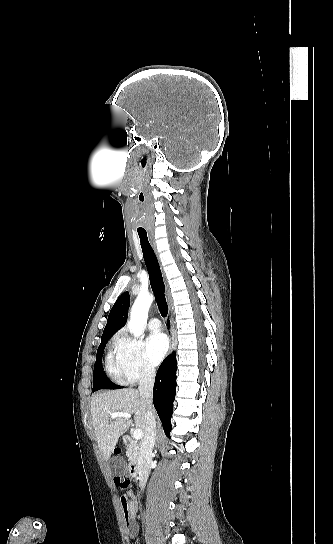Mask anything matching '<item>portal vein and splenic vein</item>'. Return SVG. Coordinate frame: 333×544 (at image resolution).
Wrapping results in <instances>:
<instances>
[{
  "mask_svg": "<svg viewBox=\"0 0 333 544\" xmlns=\"http://www.w3.org/2000/svg\"><path fill=\"white\" fill-rule=\"evenodd\" d=\"M111 418H131V414L129 413H123V412H116L111 414ZM132 436L134 439L139 440L143 437V431L140 429H134L132 432Z\"/></svg>",
  "mask_w": 333,
  "mask_h": 544,
  "instance_id": "portal-vein-and-splenic-vein-1",
  "label": "portal vein and splenic vein"
}]
</instances>
